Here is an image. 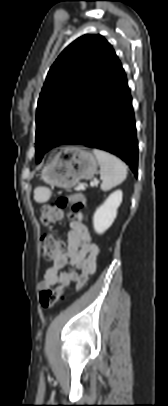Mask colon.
<instances>
[{
  "instance_id": "5ec220e1",
  "label": "colon",
  "mask_w": 168,
  "mask_h": 406,
  "mask_svg": "<svg viewBox=\"0 0 168 406\" xmlns=\"http://www.w3.org/2000/svg\"><path fill=\"white\" fill-rule=\"evenodd\" d=\"M85 198L81 194L64 195L57 198L51 204L45 205L40 211V221L44 225H51L63 218V209L71 207L74 210H79L84 206ZM43 246L44 257L47 260L56 258L61 250L59 241L51 236L44 235L41 239ZM63 291H52L44 289L39 294V302L42 308L50 309L63 298Z\"/></svg>"
}]
</instances>
